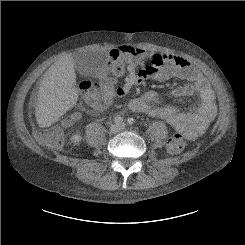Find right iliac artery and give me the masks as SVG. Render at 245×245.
<instances>
[{
  "mask_svg": "<svg viewBox=\"0 0 245 245\" xmlns=\"http://www.w3.org/2000/svg\"><path fill=\"white\" fill-rule=\"evenodd\" d=\"M114 122L116 124H121L123 122V118L120 116L115 117Z\"/></svg>",
  "mask_w": 245,
  "mask_h": 245,
  "instance_id": "82829eb1",
  "label": "right iliac artery"
}]
</instances>
